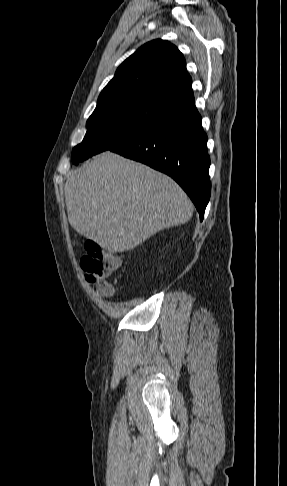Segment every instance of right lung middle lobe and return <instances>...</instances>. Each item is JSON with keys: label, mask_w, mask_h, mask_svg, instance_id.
<instances>
[{"label": "right lung middle lobe", "mask_w": 287, "mask_h": 486, "mask_svg": "<svg viewBox=\"0 0 287 486\" xmlns=\"http://www.w3.org/2000/svg\"><path fill=\"white\" fill-rule=\"evenodd\" d=\"M169 110L148 103H121L96 107L87 121L83 141L74 147L72 162L116 148L151 127Z\"/></svg>", "instance_id": "right-lung-middle-lobe-1"}]
</instances>
